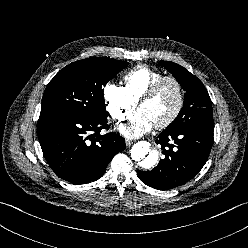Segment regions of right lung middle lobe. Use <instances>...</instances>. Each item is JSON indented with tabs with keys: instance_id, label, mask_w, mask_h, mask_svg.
Segmentation results:
<instances>
[{
	"instance_id": "dd1d6c3e",
	"label": "right lung middle lobe",
	"mask_w": 248,
	"mask_h": 248,
	"mask_svg": "<svg viewBox=\"0 0 248 248\" xmlns=\"http://www.w3.org/2000/svg\"><path fill=\"white\" fill-rule=\"evenodd\" d=\"M126 61L93 57L59 71L46 87L41 113H62L106 119L104 86L124 69Z\"/></svg>"
}]
</instances>
